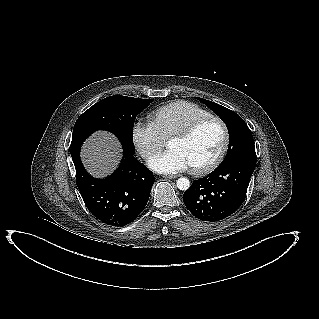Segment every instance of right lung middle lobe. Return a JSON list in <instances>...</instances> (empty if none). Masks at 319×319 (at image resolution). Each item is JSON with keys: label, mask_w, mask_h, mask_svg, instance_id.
<instances>
[{"label": "right lung middle lobe", "mask_w": 319, "mask_h": 319, "mask_svg": "<svg viewBox=\"0 0 319 319\" xmlns=\"http://www.w3.org/2000/svg\"><path fill=\"white\" fill-rule=\"evenodd\" d=\"M152 101L115 95L97 102L77 119L70 147L81 146L91 133L103 129L114 133L124 152L133 155L135 150L132 133L135 118Z\"/></svg>", "instance_id": "1"}]
</instances>
